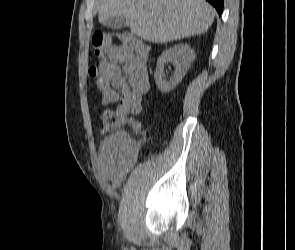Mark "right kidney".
<instances>
[{
	"label": "right kidney",
	"mask_w": 295,
	"mask_h": 250,
	"mask_svg": "<svg viewBox=\"0 0 295 250\" xmlns=\"http://www.w3.org/2000/svg\"><path fill=\"white\" fill-rule=\"evenodd\" d=\"M194 58L195 52L188 44H178L165 50L158 58L154 74L157 88L163 93L173 90L187 73ZM168 62H173L175 71L170 80L166 81L164 79V66Z\"/></svg>",
	"instance_id": "obj_1"
}]
</instances>
